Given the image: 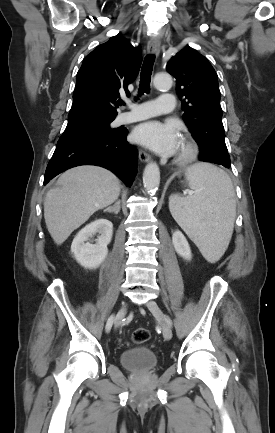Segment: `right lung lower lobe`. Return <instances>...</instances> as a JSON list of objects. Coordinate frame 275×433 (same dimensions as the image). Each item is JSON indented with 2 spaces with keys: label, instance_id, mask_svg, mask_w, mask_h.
Returning <instances> with one entry per match:
<instances>
[{
  "label": "right lung lower lobe",
  "instance_id": "98d812e1",
  "mask_svg": "<svg viewBox=\"0 0 275 433\" xmlns=\"http://www.w3.org/2000/svg\"><path fill=\"white\" fill-rule=\"evenodd\" d=\"M128 131L112 135L77 133L60 137L48 163L44 185L61 172L79 165H97L114 172L131 186L137 172V150L126 141Z\"/></svg>",
  "mask_w": 275,
  "mask_h": 433
}]
</instances>
